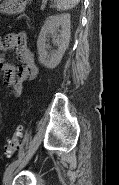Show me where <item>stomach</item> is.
Segmentation results:
<instances>
[{
    "instance_id": "1",
    "label": "stomach",
    "mask_w": 119,
    "mask_h": 185,
    "mask_svg": "<svg viewBox=\"0 0 119 185\" xmlns=\"http://www.w3.org/2000/svg\"><path fill=\"white\" fill-rule=\"evenodd\" d=\"M29 0H5L0 4V12L5 14H17L25 10Z\"/></svg>"
}]
</instances>
